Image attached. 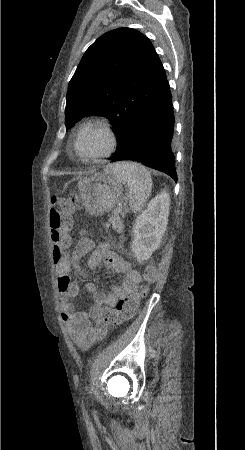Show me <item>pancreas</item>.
Masks as SVG:
<instances>
[{"instance_id": "1", "label": "pancreas", "mask_w": 245, "mask_h": 450, "mask_svg": "<svg viewBox=\"0 0 245 450\" xmlns=\"http://www.w3.org/2000/svg\"><path fill=\"white\" fill-rule=\"evenodd\" d=\"M120 213V212H119ZM119 213H114V215L109 219V223L112 224V227L117 230L118 232L123 231V221L121 217L119 216Z\"/></svg>"}]
</instances>
